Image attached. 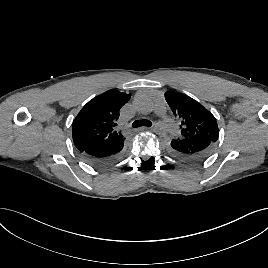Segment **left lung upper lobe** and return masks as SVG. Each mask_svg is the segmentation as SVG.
<instances>
[{
    "label": "left lung upper lobe",
    "instance_id": "5c2ea615",
    "mask_svg": "<svg viewBox=\"0 0 268 268\" xmlns=\"http://www.w3.org/2000/svg\"><path fill=\"white\" fill-rule=\"evenodd\" d=\"M165 99L181 123L179 138H207L216 143L219 130L211 112L196 100L178 92H166Z\"/></svg>",
    "mask_w": 268,
    "mask_h": 268
}]
</instances>
